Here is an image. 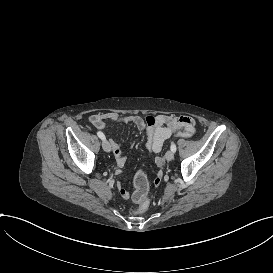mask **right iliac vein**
Here are the masks:
<instances>
[{"instance_id":"1","label":"right iliac vein","mask_w":273,"mask_h":273,"mask_svg":"<svg viewBox=\"0 0 273 273\" xmlns=\"http://www.w3.org/2000/svg\"><path fill=\"white\" fill-rule=\"evenodd\" d=\"M102 148L107 153L111 151V145H110V143L107 140H103L102 141Z\"/></svg>"}]
</instances>
